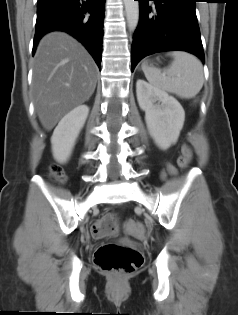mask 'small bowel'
<instances>
[{"mask_svg":"<svg viewBox=\"0 0 238 315\" xmlns=\"http://www.w3.org/2000/svg\"><path fill=\"white\" fill-rule=\"evenodd\" d=\"M175 168L171 165H167L165 172L163 173V177H166L167 175H173L175 174ZM140 226V225H139Z\"/></svg>","mask_w":238,"mask_h":315,"instance_id":"1","label":"small bowel"}]
</instances>
